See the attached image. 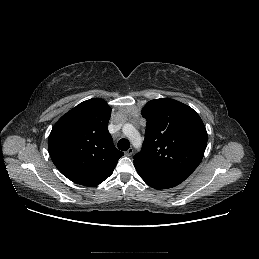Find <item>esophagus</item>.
Masks as SVG:
<instances>
[{
	"label": "esophagus",
	"mask_w": 259,
	"mask_h": 259,
	"mask_svg": "<svg viewBox=\"0 0 259 259\" xmlns=\"http://www.w3.org/2000/svg\"><path fill=\"white\" fill-rule=\"evenodd\" d=\"M134 152V149L133 148H129L126 152H125V155L126 156H131Z\"/></svg>",
	"instance_id": "1"
}]
</instances>
